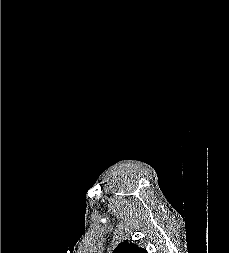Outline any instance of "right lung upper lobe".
Here are the masks:
<instances>
[{
  "label": "right lung upper lobe",
  "instance_id": "obj_1",
  "mask_svg": "<svg viewBox=\"0 0 229 253\" xmlns=\"http://www.w3.org/2000/svg\"><path fill=\"white\" fill-rule=\"evenodd\" d=\"M113 253H147L144 248L138 247L136 244L128 243L127 241L121 242Z\"/></svg>",
  "mask_w": 229,
  "mask_h": 253
}]
</instances>
